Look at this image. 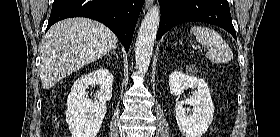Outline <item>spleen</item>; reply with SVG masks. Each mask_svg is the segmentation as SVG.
<instances>
[{
    "instance_id": "spleen-1",
    "label": "spleen",
    "mask_w": 280,
    "mask_h": 137,
    "mask_svg": "<svg viewBox=\"0 0 280 137\" xmlns=\"http://www.w3.org/2000/svg\"><path fill=\"white\" fill-rule=\"evenodd\" d=\"M191 33L196 40L207 47V58L215 63H227L233 59L229 45L214 29L204 26H192Z\"/></svg>"
}]
</instances>
